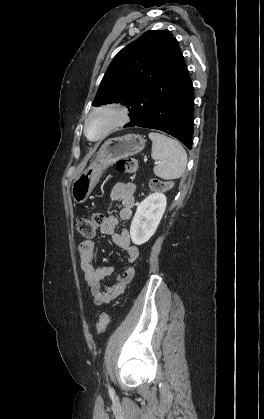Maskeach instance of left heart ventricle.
<instances>
[{
	"instance_id": "b2bd125f",
	"label": "left heart ventricle",
	"mask_w": 264,
	"mask_h": 419,
	"mask_svg": "<svg viewBox=\"0 0 264 419\" xmlns=\"http://www.w3.org/2000/svg\"><path fill=\"white\" fill-rule=\"evenodd\" d=\"M109 118L105 115L95 116L88 125V135L90 138L98 137L106 127Z\"/></svg>"
}]
</instances>
